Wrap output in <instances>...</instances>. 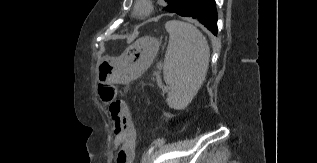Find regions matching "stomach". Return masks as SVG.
Wrapping results in <instances>:
<instances>
[{"instance_id": "stomach-1", "label": "stomach", "mask_w": 317, "mask_h": 163, "mask_svg": "<svg viewBox=\"0 0 317 163\" xmlns=\"http://www.w3.org/2000/svg\"><path fill=\"white\" fill-rule=\"evenodd\" d=\"M160 42L153 37H142L130 45L119 57H102L96 65L99 83H124L137 78L152 63Z\"/></svg>"}]
</instances>
